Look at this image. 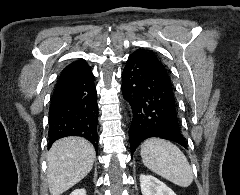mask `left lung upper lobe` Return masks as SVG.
I'll return each instance as SVG.
<instances>
[{"label":"left lung upper lobe","instance_id":"left-lung-upper-lobe-1","mask_svg":"<svg viewBox=\"0 0 240 195\" xmlns=\"http://www.w3.org/2000/svg\"><path fill=\"white\" fill-rule=\"evenodd\" d=\"M132 55H141V56L146 57L147 59L159 61L161 63V65L164 66L153 51L138 49Z\"/></svg>","mask_w":240,"mask_h":195}]
</instances>
